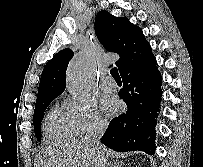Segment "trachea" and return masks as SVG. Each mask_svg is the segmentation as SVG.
Returning <instances> with one entry per match:
<instances>
[{"label": "trachea", "instance_id": "obj_1", "mask_svg": "<svg viewBox=\"0 0 203 167\" xmlns=\"http://www.w3.org/2000/svg\"><path fill=\"white\" fill-rule=\"evenodd\" d=\"M112 77L117 81V80H121V77L119 75L118 69L116 67L112 68L110 71Z\"/></svg>", "mask_w": 203, "mask_h": 167}]
</instances>
